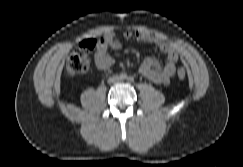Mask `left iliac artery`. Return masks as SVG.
<instances>
[{"label":"left iliac artery","mask_w":243,"mask_h":167,"mask_svg":"<svg viewBox=\"0 0 243 167\" xmlns=\"http://www.w3.org/2000/svg\"><path fill=\"white\" fill-rule=\"evenodd\" d=\"M128 80H129V81H133L134 79H133V77L130 76V77L128 78Z\"/></svg>","instance_id":"left-iliac-artery-1"}]
</instances>
